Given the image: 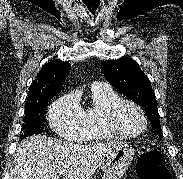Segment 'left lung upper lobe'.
<instances>
[{
	"instance_id": "1",
	"label": "left lung upper lobe",
	"mask_w": 183,
	"mask_h": 179,
	"mask_svg": "<svg viewBox=\"0 0 183 179\" xmlns=\"http://www.w3.org/2000/svg\"><path fill=\"white\" fill-rule=\"evenodd\" d=\"M101 72L118 91L145 108L154 131L162 135L154 91L138 64L128 57L106 60L101 64Z\"/></svg>"
}]
</instances>
